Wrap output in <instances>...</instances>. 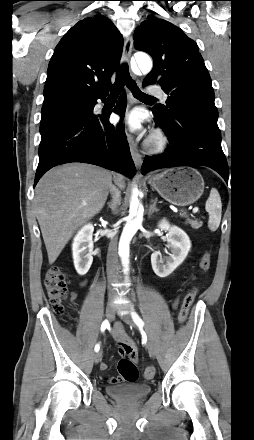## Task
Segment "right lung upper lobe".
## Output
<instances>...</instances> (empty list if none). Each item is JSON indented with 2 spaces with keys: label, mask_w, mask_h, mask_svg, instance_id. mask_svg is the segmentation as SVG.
I'll return each mask as SVG.
<instances>
[{
  "label": "right lung upper lobe",
  "mask_w": 254,
  "mask_h": 440,
  "mask_svg": "<svg viewBox=\"0 0 254 440\" xmlns=\"http://www.w3.org/2000/svg\"><path fill=\"white\" fill-rule=\"evenodd\" d=\"M123 49V38L105 16L76 23L60 40L50 60L44 100L61 94L107 95Z\"/></svg>",
  "instance_id": "1"
}]
</instances>
